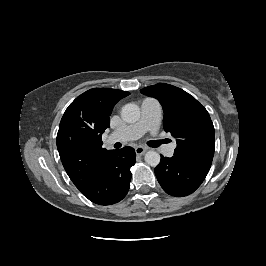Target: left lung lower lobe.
<instances>
[{"label":"left lung lower lobe","mask_w":266,"mask_h":266,"mask_svg":"<svg viewBox=\"0 0 266 266\" xmlns=\"http://www.w3.org/2000/svg\"><path fill=\"white\" fill-rule=\"evenodd\" d=\"M211 163L161 156L155 174L166 193L182 197L193 193L201 185L210 170Z\"/></svg>","instance_id":"1"}]
</instances>
